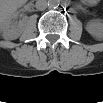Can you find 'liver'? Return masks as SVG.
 Instances as JSON below:
<instances>
[{
    "label": "liver",
    "instance_id": "obj_1",
    "mask_svg": "<svg viewBox=\"0 0 103 103\" xmlns=\"http://www.w3.org/2000/svg\"><path fill=\"white\" fill-rule=\"evenodd\" d=\"M23 3V1H6L3 5V8L7 10H15L18 7L22 6Z\"/></svg>",
    "mask_w": 103,
    "mask_h": 103
}]
</instances>
